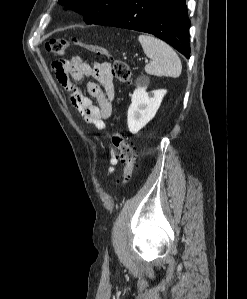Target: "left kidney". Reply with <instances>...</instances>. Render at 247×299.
Returning <instances> with one entry per match:
<instances>
[{"label":"left kidney","mask_w":247,"mask_h":299,"mask_svg":"<svg viewBox=\"0 0 247 299\" xmlns=\"http://www.w3.org/2000/svg\"><path fill=\"white\" fill-rule=\"evenodd\" d=\"M151 93L152 96L145 89L137 88L131 95L127 124L132 134L138 133L154 118L167 91L161 89L154 90Z\"/></svg>","instance_id":"1"}]
</instances>
